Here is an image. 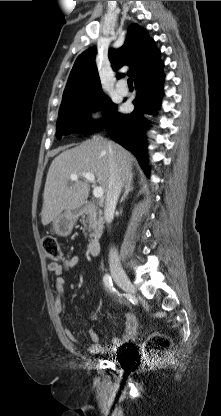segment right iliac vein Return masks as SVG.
Returning a JSON list of instances; mask_svg holds the SVG:
<instances>
[{"instance_id": "obj_1", "label": "right iliac vein", "mask_w": 221, "mask_h": 416, "mask_svg": "<svg viewBox=\"0 0 221 416\" xmlns=\"http://www.w3.org/2000/svg\"><path fill=\"white\" fill-rule=\"evenodd\" d=\"M113 277L116 283L125 291L130 294H135V288L128 278L127 274L121 269L112 270Z\"/></svg>"}]
</instances>
